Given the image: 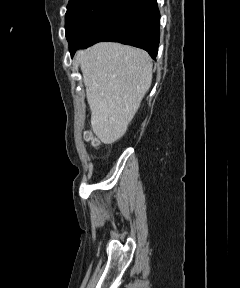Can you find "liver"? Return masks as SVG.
Masks as SVG:
<instances>
[{
  "instance_id": "liver-1",
  "label": "liver",
  "mask_w": 240,
  "mask_h": 288,
  "mask_svg": "<svg viewBox=\"0 0 240 288\" xmlns=\"http://www.w3.org/2000/svg\"><path fill=\"white\" fill-rule=\"evenodd\" d=\"M91 126L104 143L120 139L152 83V59L138 48L101 42L77 53Z\"/></svg>"
}]
</instances>
